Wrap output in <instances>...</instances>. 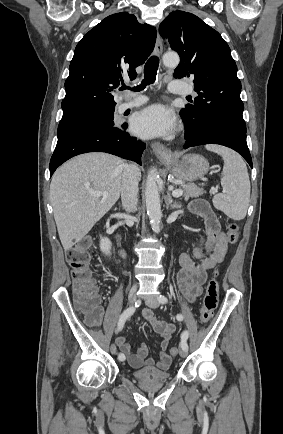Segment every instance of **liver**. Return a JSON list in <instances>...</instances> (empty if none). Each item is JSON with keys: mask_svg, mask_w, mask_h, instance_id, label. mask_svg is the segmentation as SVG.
<instances>
[{"mask_svg": "<svg viewBox=\"0 0 283 434\" xmlns=\"http://www.w3.org/2000/svg\"><path fill=\"white\" fill-rule=\"evenodd\" d=\"M124 161L101 152L78 155L59 167L50 184V200L65 251L79 242L117 202ZM141 173L138 169V180ZM90 191L107 192V198Z\"/></svg>", "mask_w": 283, "mask_h": 434, "instance_id": "liver-1", "label": "liver"}]
</instances>
